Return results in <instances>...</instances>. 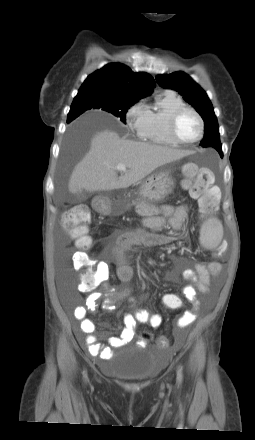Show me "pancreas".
<instances>
[{
    "label": "pancreas",
    "mask_w": 255,
    "mask_h": 440,
    "mask_svg": "<svg viewBox=\"0 0 255 440\" xmlns=\"http://www.w3.org/2000/svg\"><path fill=\"white\" fill-rule=\"evenodd\" d=\"M133 206H135V211L141 216H153L160 214V211L150 205L146 200L132 201Z\"/></svg>",
    "instance_id": "1"
}]
</instances>
